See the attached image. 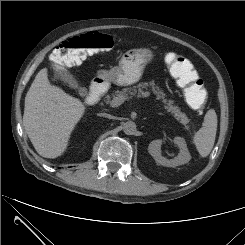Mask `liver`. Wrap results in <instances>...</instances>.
Segmentation results:
<instances>
[{
  "mask_svg": "<svg viewBox=\"0 0 245 245\" xmlns=\"http://www.w3.org/2000/svg\"><path fill=\"white\" fill-rule=\"evenodd\" d=\"M84 113L85 106L78 98L50 84L44 68L26 94L23 124L37 153L56 158L66 150L70 135Z\"/></svg>",
  "mask_w": 245,
  "mask_h": 245,
  "instance_id": "1",
  "label": "liver"
}]
</instances>
